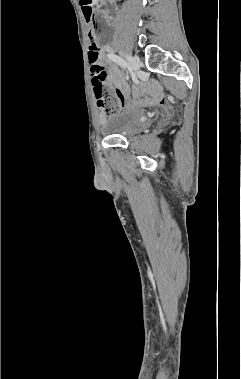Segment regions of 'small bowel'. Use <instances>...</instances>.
<instances>
[{"instance_id":"c3829d8e","label":"small bowel","mask_w":241,"mask_h":379,"mask_svg":"<svg viewBox=\"0 0 241 379\" xmlns=\"http://www.w3.org/2000/svg\"><path fill=\"white\" fill-rule=\"evenodd\" d=\"M106 72V70H105ZM105 81L114 89L115 94L120 98L123 108H132L153 104H164L165 98L163 91L156 85L141 84L133 88V99L129 100V87L119 70L110 66L109 72H106ZM93 83V82H92ZM103 120L104 117H101Z\"/></svg>"}]
</instances>
